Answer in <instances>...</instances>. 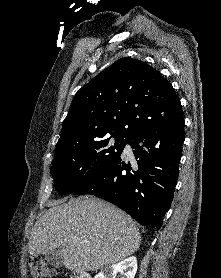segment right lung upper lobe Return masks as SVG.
<instances>
[{
	"instance_id": "cb5924a9",
	"label": "right lung upper lobe",
	"mask_w": 221,
	"mask_h": 278,
	"mask_svg": "<svg viewBox=\"0 0 221 278\" xmlns=\"http://www.w3.org/2000/svg\"><path fill=\"white\" fill-rule=\"evenodd\" d=\"M183 114L178 95L159 71L121 58L76 93L55 152L107 134L128 138Z\"/></svg>"
}]
</instances>
